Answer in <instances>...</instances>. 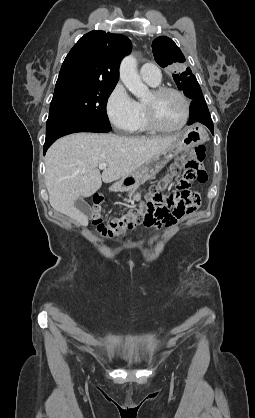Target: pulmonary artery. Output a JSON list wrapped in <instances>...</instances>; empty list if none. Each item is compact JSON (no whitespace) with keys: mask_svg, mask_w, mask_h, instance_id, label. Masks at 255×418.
Segmentation results:
<instances>
[{"mask_svg":"<svg viewBox=\"0 0 255 418\" xmlns=\"http://www.w3.org/2000/svg\"><path fill=\"white\" fill-rule=\"evenodd\" d=\"M140 74L142 79L149 84L157 85L161 82L160 70L152 63L144 64L140 69Z\"/></svg>","mask_w":255,"mask_h":418,"instance_id":"1","label":"pulmonary artery"}]
</instances>
